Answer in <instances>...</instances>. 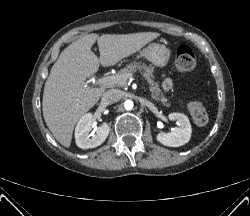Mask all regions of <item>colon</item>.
Wrapping results in <instances>:
<instances>
[{
  "instance_id": "colon-1",
  "label": "colon",
  "mask_w": 250,
  "mask_h": 216,
  "mask_svg": "<svg viewBox=\"0 0 250 216\" xmlns=\"http://www.w3.org/2000/svg\"><path fill=\"white\" fill-rule=\"evenodd\" d=\"M197 64L195 54L188 46H180L176 53V65L179 70L188 72L195 69ZM188 110L193 121L197 125H205L208 122V113L204 105L196 100L189 102Z\"/></svg>"
}]
</instances>
